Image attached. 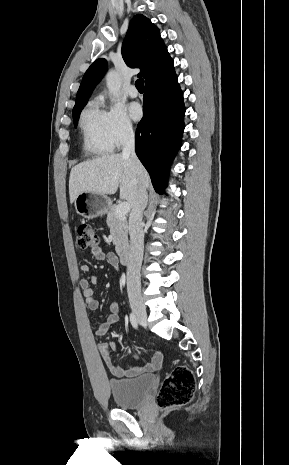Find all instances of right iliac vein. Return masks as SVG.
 Listing matches in <instances>:
<instances>
[{
    "label": "right iliac vein",
    "instance_id": "obj_1",
    "mask_svg": "<svg viewBox=\"0 0 289 465\" xmlns=\"http://www.w3.org/2000/svg\"><path fill=\"white\" fill-rule=\"evenodd\" d=\"M130 305L132 311L136 315L139 323L143 326L147 325V312L144 304L139 299H131Z\"/></svg>",
    "mask_w": 289,
    "mask_h": 465
}]
</instances>
